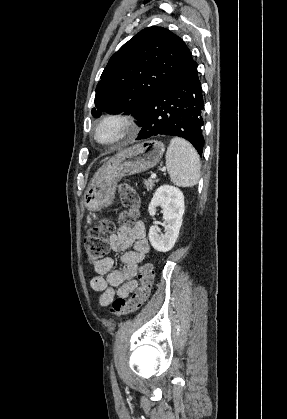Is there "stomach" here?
Listing matches in <instances>:
<instances>
[{
    "label": "stomach",
    "instance_id": "0dacf381",
    "mask_svg": "<svg viewBox=\"0 0 287 419\" xmlns=\"http://www.w3.org/2000/svg\"><path fill=\"white\" fill-rule=\"evenodd\" d=\"M165 146L158 140H147L118 152L97 170L84 193L90 210L109 206L115 197L117 183L126 176L144 172L158 164Z\"/></svg>",
    "mask_w": 287,
    "mask_h": 419
}]
</instances>
